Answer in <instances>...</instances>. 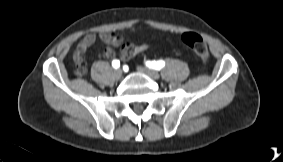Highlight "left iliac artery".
Instances as JSON below:
<instances>
[{"mask_svg": "<svg viewBox=\"0 0 283 162\" xmlns=\"http://www.w3.org/2000/svg\"><path fill=\"white\" fill-rule=\"evenodd\" d=\"M146 65L149 68L155 69V70H160L162 67L165 66V62L162 60L159 61H148L146 62Z\"/></svg>", "mask_w": 283, "mask_h": 162, "instance_id": "1", "label": "left iliac artery"}]
</instances>
